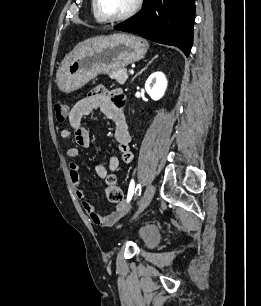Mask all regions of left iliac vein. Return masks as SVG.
<instances>
[{"mask_svg":"<svg viewBox=\"0 0 261 306\" xmlns=\"http://www.w3.org/2000/svg\"><path fill=\"white\" fill-rule=\"evenodd\" d=\"M154 193H155L154 185L149 184L143 194L142 200L139 204L136 214L134 215V218H136L150 204V202L153 199Z\"/></svg>","mask_w":261,"mask_h":306,"instance_id":"4c4485c4","label":"left iliac vein"}]
</instances>
